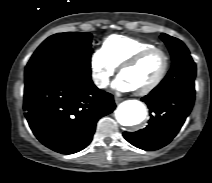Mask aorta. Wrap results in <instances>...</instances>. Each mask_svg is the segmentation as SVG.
I'll list each match as a JSON object with an SVG mask.
<instances>
[{"label":"aorta","instance_id":"obj_1","mask_svg":"<svg viewBox=\"0 0 212 183\" xmlns=\"http://www.w3.org/2000/svg\"><path fill=\"white\" fill-rule=\"evenodd\" d=\"M115 113L117 121L123 126L138 125L147 115L145 106L138 100L124 101Z\"/></svg>","mask_w":212,"mask_h":183}]
</instances>
